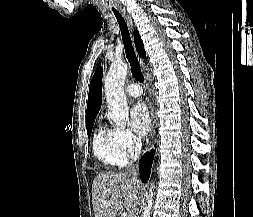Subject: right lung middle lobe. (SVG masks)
Masks as SVG:
<instances>
[{
  "label": "right lung middle lobe",
  "instance_id": "obj_1",
  "mask_svg": "<svg viewBox=\"0 0 253 217\" xmlns=\"http://www.w3.org/2000/svg\"><path fill=\"white\" fill-rule=\"evenodd\" d=\"M93 124H94V120L86 123L88 136L91 135Z\"/></svg>",
  "mask_w": 253,
  "mask_h": 217
}]
</instances>
